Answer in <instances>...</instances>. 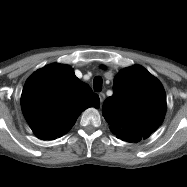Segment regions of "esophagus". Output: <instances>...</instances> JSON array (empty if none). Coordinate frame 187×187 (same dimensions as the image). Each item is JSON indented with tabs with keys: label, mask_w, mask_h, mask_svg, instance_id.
Masks as SVG:
<instances>
[{
	"label": "esophagus",
	"mask_w": 187,
	"mask_h": 187,
	"mask_svg": "<svg viewBox=\"0 0 187 187\" xmlns=\"http://www.w3.org/2000/svg\"><path fill=\"white\" fill-rule=\"evenodd\" d=\"M98 95H99L100 103H101V105H102V103H103L104 100H105V94H104L103 92H100Z\"/></svg>",
	"instance_id": "esophagus-1"
}]
</instances>
